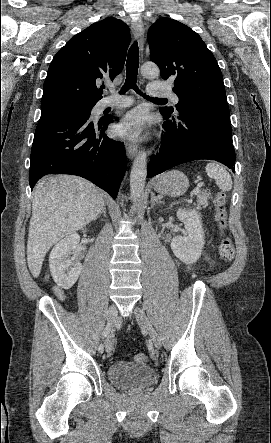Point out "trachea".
Instances as JSON below:
<instances>
[{"instance_id": "trachea-1", "label": "trachea", "mask_w": 271, "mask_h": 443, "mask_svg": "<svg viewBox=\"0 0 271 443\" xmlns=\"http://www.w3.org/2000/svg\"><path fill=\"white\" fill-rule=\"evenodd\" d=\"M139 67V50L137 42H134L129 49L127 62H126V81L121 88L120 93L124 94L130 88L134 89L137 93H141L139 88L136 85L137 82V74ZM146 97V94L143 95ZM149 98V97H147ZM152 101H168L166 98H150Z\"/></svg>"}]
</instances>
